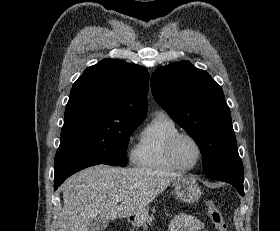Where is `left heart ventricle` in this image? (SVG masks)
<instances>
[{
    "label": "left heart ventricle",
    "instance_id": "1",
    "mask_svg": "<svg viewBox=\"0 0 280 231\" xmlns=\"http://www.w3.org/2000/svg\"><path fill=\"white\" fill-rule=\"evenodd\" d=\"M199 148L196 142L189 137H182L175 147V157L180 165L193 168L199 161Z\"/></svg>",
    "mask_w": 280,
    "mask_h": 231
}]
</instances>
